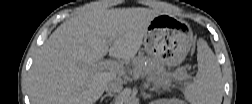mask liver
<instances>
[{
  "label": "liver",
  "instance_id": "obj_1",
  "mask_svg": "<svg viewBox=\"0 0 252 104\" xmlns=\"http://www.w3.org/2000/svg\"><path fill=\"white\" fill-rule=\"evenodd\" d=\"M158 10L96 7L63 22L41 46L29 74L36 104H92L117 74L96 68L101 58L129 61Z\"/></svg>",
  "mask_w": 252,
  "mask_h": 104
}]
</instances>
